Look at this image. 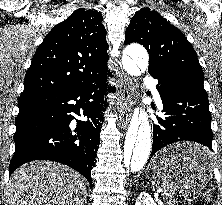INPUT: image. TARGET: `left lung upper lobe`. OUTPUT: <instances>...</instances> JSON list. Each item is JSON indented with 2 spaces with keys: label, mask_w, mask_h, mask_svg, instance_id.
<instances>
[{
  "label": "left lung upper lobe",
  "mask_w": 222,
  "mask_h": 205,
  "mask_svg": "<svg viewBox=\"0 0 222 205\" xmlns=\"http://www.w3.org/2000/svg\"><path fill=\"white\" fill-rule=\"evenodd\" d=\"M132 42L142 44L148 51V71L171 70L203 84V70L192 45L178 28L155 10L143 8L130 20L124 43Z\"/></svg>",
  "instance_id": "obj_1"
}]
</instances>
